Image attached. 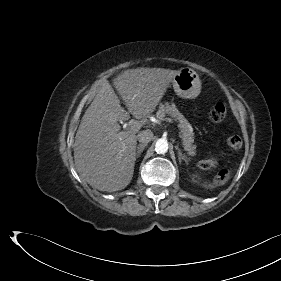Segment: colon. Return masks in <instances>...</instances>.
Listing matches in <instances>:
<instances>
[{
	"mask_svg": "<svg viewBox=\"0 0 281 281\" xmlns=\"http://www.w3.org/2000/svg\"><path fill=\"white\" fill-rule=\"evenodd\" d=\"M226 108L222 103H218L214 105L208 112V117L213 122H222L226 118ZM227 145L234 150L239 149L242 146V139L237 134H231L227 138ZM216 165V160L214 158H210L204 160L201 163V167L203 169H208ZM230 177V172L228 170H221L215 177L212 183L208 185V187L212 188L214 186L221 185L225 183Z\"/></svg>",
	"mask_w": 281,
	"mask_h": 281,
	"instance_id": "colon-1",
	"label": "colon"
}]
</instances>
